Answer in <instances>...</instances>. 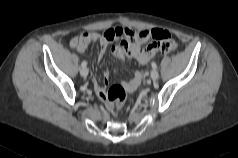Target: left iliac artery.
<instances>
[{
	"label": "left iliac artery",
	"instance_id": "44dca946",
	"mask_svg": "<svg viewBox=\"0 0 238 158\" xmlns=\"http://www.w3.org/2000/svg\"><path fill=\"white\" fill-rule=\"evenodd\" d=\"M151 66H152L153 69H156V68H157V65H156L155 62H152V63H151Z\"/></svg>",
	"mask_w": 238,
	"mask_h": 158
}]
</instances>
